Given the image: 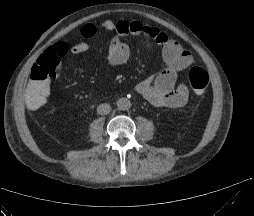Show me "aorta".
<instances>
[{
	"instance_id": "aorta-1",
	"label": "aorta",
	"mask_w": 254,
	"mask_h": 216,
	"mask_svg": "<svg viewBox=\"0 0 254 216\" xmlns=\"http://www.w3.org/2000/svg\"><path fill=\"white\" fill-rule=\"evenodd\" d=\"M116 105L120 110H128L131 107V102L127 98H120L117 100Z\"/></svg>"
}]
</instances>
